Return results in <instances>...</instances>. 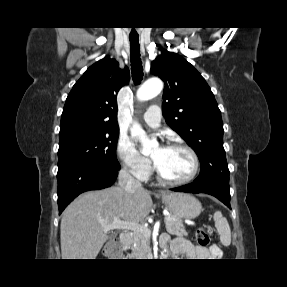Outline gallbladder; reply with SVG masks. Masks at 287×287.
<instances>
[{
  "mask_svg": "<svg viewBox=\"0 0 287 287\" xmlns=\"http://www.w3.org/2000/svg\"><path fill=\"white\" fill-rule=\"evenodd\" d=\"M113 237H115V234H110L109 235V238H113Z\"/></svg>",
  "mask_w": 287,
  "mask_h": 287,
  "instance_id": "obj_1",
  "label": "gallbladder"
}]
</instances>
